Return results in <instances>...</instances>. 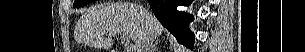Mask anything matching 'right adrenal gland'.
Listing matches in <instances>:
<instances>
[{"label": "right adrenal gland", "mask_w": 305, "mask_h": 52, "mask_svg": "<svg viewBox=\"0 0 305 52\" xmlns=\"http://www.w3.org/2000/svg\"><path fill=\"white\" fill-rule=\"evenodd\" d=\"M160 41L156 40V42L151 46V52H156L157 51V45Z\"/></svg>", "instance_id": "2a0ac1e0"}]
</instances>
